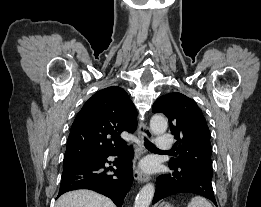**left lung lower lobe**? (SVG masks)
Masks as SVG:
<instances>
[{"instance_id":"1","label":"left lung lower lobe","mask_w":261,"mask_h":207,"mask_svg":"<svg viewBox=\"0 0 261 207\" xmlns=\"http://www.w3.org/2000/svg\"><path fill=\"white\" fill-rule=\"evenodd\" d=\"M170 169V173L157 178L152 204L174 194L193 193L208 198L217 206L211 177L184 167Z\"/></svg>"}]
</instances>
